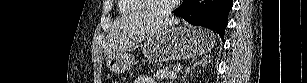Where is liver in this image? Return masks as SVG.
Wrapping results in <instances>:
<instances>
[{"instance_id": "obj_1", "label": "liver", "mask_w": 307, "mask_h": 83, "mask_svg": "<svg viewBox=\"0 0 307 83\" xmlns=\"http://www.w3.org/2000/svg\"><path fill=\"white\" fill-rule=\"evenodd\" d=\"M178 23V19L161 17L148 12L123 17L113 25L107 37L104 54L107 58L129 45L146 40Z\"/></svg>"}]
</instances>
